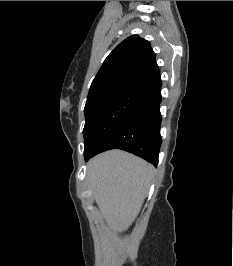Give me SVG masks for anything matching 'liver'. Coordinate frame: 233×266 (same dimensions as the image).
Here are the masks:
<instances>
[{"label": "liver", "instance_id": "liver-1", "mask_svg": "<svg viewBox=\"0 0 233 266\" xmlns=\"http://www.w3.org/2000/svg\"><path fill=\"white\" fill-rule=\"evenodd\" d=\"M153 173L151 164L122 150L107 151L89 161V187L110 230L121 233L132 225Z\"/></svg>", "mask_w": 233, "mask_h": 266}]
</instances>
